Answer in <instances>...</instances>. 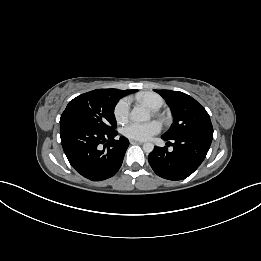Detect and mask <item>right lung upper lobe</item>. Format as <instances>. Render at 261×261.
<instances>
[{"instance_id": "obj_1", "label": "right lung upper lobe", "mask_w": 261, "mask_h": 261, "mask_svg": "<svg viewBox=\"0 0 261 261\" xmlns=\"http://www.w3.org/2000/svg\"><path fill=\"white\" fill-rule=\"evenodd\" d=\"M114 91H115L119 96H121V98H122L123 96H126V95H128V94H130V93H132V92H135L136 89H132V90H118V89H114Z\"/></svg>"}]
</instances>
